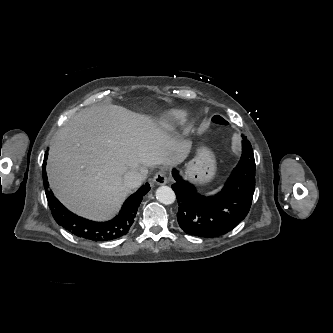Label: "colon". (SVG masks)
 I'll list each match as a JSON object with an SVG mask.
<instances>
[{"mask_svg":"<svg viewBox=\"0 0 333 333\" xmlns=\"http://www.w3.org/2000/svg\"><path fill=\"white\" fill-rule=\"evenodd\" d=\"M212 122L216 125H221V126L226 125L225 119L221 116H218V115H216L212 118Z\"/></svg>","mask_w":333,"mask_h":333,"instance_id":"1","label":"colon"}]
</instances>
